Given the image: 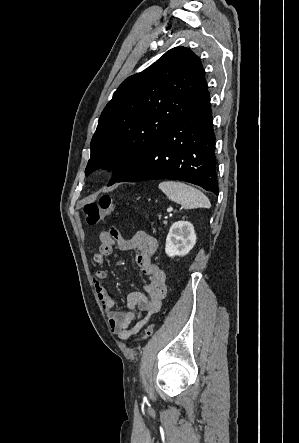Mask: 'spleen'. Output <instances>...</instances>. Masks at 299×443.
Segmentation results:
<instances>
[{"label":"spleen","instance_id":"1","mask_svg":"<svg viewBox=\"0 0 299 443\" xmlns=\"http://www.w3.org/2000/svg\"><path fill=\"white\" fill-rule=\"evenodd\" d=\"M159 189L172 201L185 209L210 208L209 199L200 190L182 182L164 181Z\"/></svg>","mask_w":299,"mask_h":443}]
</instances>
